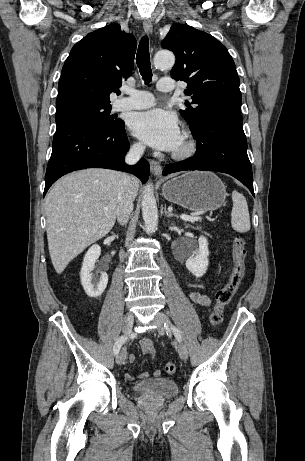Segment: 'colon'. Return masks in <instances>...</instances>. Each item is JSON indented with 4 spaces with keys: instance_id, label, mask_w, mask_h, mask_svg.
Segmentation results:
<instances>
[{
    "instance_id": "colon-1",
    "label": "colon",
    "mask_w": 305,
    "mask_h": 461,
    "mask_svg": "<svg viewBox=\"0 0 305 461\" xmlns=\"http://www.w3.org/2000/svg\"><path fill=\"white\" fill-rule=\"evenodd\" d=\"M233 258L234 267L230 278L215 296V305L209 317V323L212 327H217L221 323L224 308L237 292L245 273V240L241 235H236L234 238ZM165 371L168 374H174L176 372V365L172 362L166 363Z\"/></svg>"
}]
</instances>
